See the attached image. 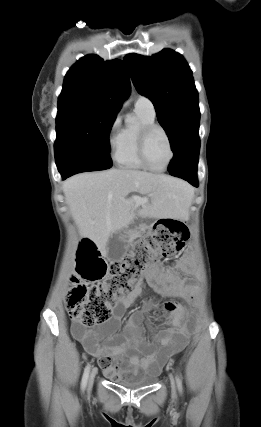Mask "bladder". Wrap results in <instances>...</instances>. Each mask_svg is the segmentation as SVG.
<instances>
[{"label": "bladder", "instance_id": "bladder-1", "mask_svg": "<svg viewBox=\"0 0 261 427\" xmlns=\"http://www.w3.org/2000/svg\"><path fill=\"white\" fill-rule=\"evenodd\" d=\"M156 381H157V376L150 375V376H144L140 378H133L129 380H122L118 383V385L123 386L125 388H129V389H135V388L150 386L154 384Z\"/></svg>", "mask_w": 261, "mask_h": 427}]
</instances>
